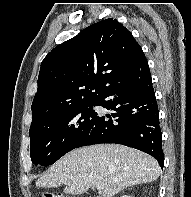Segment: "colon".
Masks as SVG:
<instances>
[{"label":"colon","instance_id":"5ec220e1","mask_svg":"<svg viewBox=\"0 0 191 197\" xmlns=\"http://www.w3.org/2000/svg\"><path fill=\"white\" fill-rule=\"evenodd\" d=\"M44 197H64V196H62V195H54V194L47 193V194L44 195Z\"/></svg>","mask_w":191,"mask_h":197}]
</instances>
